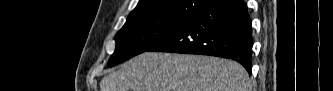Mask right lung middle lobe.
Segmentation results:
<instances>
[{
	"label": "right lung middle lobe",
	"mask_w": 333,
	"mask_h": 91,
	"mask_svg": "<svg viewBox=\"0 0 333 91\" xmlns=\"http://www.w3.org/2000/svg\"><path fill=\"white\" fill-rule=\"evenodd\" d=\"M216 1L205 0L202 6L206 9ZM192 18L156 15L138 17L126 21L115 35L116 48L108 61V66L112 67L135 55L148 51L178 31Z\"/></svg>",
	"instance_id": "dd1d6c3e"
}]
</instances>
